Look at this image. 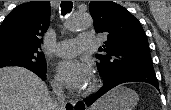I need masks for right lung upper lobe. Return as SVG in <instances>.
I'll use <instances>...</instances> for the list:
<instances>
[{"label":"right lung upper lobe","mask_w":171,"mask_h":110,"mask_svg":"<svg viewBox=\"0 0 171 110\" xmlns=\"http://www.w3.org/2000/svg\"><path fill=\"white\" fill-rule=\"evenodd\" d=\"M50 13L49 1H31L17 6L0 26V44L13 43L40 50Z\"/></svg>","instance_id":"right-lung-upper-lobe-1"}]
</instances>
